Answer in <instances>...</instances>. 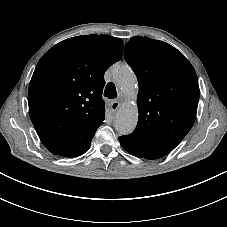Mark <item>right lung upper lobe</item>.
<instances>
[{
	"label": "right lung upper lobe",
	"mask_w": 227,
	"mask_h": 227,
	"mask_svg": "<svg viewBox=\"0 0 227 227\" xmlns=\"http://www.w3.org/2000/svg\"><path fill=\"white\" fill-rule=\"evenodd\" d=\"M123 41L109 35L66 39L39 60L28 90L31 121L53 154L75 157L103 124L107 68L122 57Z\"/></svg>",
	"instance_id": "cb5924a9"
}]
</instances>
